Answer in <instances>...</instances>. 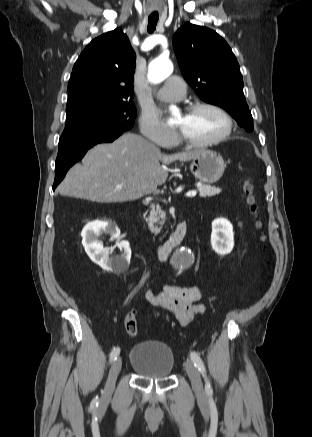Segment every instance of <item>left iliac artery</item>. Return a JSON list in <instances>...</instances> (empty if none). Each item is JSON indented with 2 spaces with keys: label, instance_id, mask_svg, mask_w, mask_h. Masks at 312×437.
<instances>
[{
  "label": "left iliac artery",
  "instance_id": "left-iliac-artery-1",
  "mask_svg": "<svg viewBox=\"0 0 312 437\" xmlns=\"http://www.w3.org/2000/svg\"><path fill=\"white\" fill-rule=\"evenodd\" d=\"M190 358H191L192 362L194 363V365L198 368L200 373L205 378V382H206L205 390H206L207 395H212L213 390H212L211 384L207 378L206 368L204 366L202 359L200 358V356L196 352H191Z\"/></svg>",
  "mask_w": 312,
  "mask_h": 437
}]
</instances>
